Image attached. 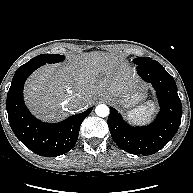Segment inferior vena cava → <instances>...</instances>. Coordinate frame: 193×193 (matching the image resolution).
<instances>
[{
    "label": "inferior vena cava",
    "mask_w": 193,
    "mask_h": 193,
    "mask_svg": "<svg viewBox=\"0 0 193 193\" xmlns=\"http://www.w3.org/2000/svg\"><path fill=\"white\" fill-rule=\"evenodd\" d=\"M67 104L73 109H81L85 106V101L80 97H72Z\"/></svg>",
    "instance_id": "1"
}]
</instances>
